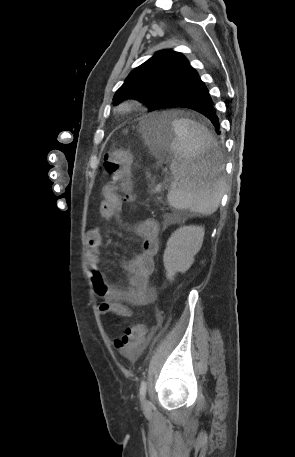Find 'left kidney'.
<instances>
[{"instance_id":"5707ae66","label":"left kidney","mask_w":295,"mask_h":457,"mask_svg":"<svg viewBox=\"0 0 295 457\" xmlns=\"http://www.w3.org/2000/svg\"><path fill=\"white\" fill-rule=\"evenodd\" d=\"M205 229L202 226H184L177 229L167 241L163 261L166 277L172 280L177 272L185 273L199 252Z\"/></svg>"}]
</instances>
